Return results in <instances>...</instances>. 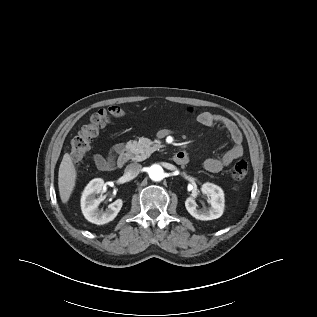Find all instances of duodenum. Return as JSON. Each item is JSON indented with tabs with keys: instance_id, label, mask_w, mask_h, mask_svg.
<instances>
[{
	"instance_id": "1",
	"label": "duodenum",
	"mask_w": 317,
	"mask_h": 317,
	"mask_svg": "<svg viewBox=\"0 0 317 317\" xmlns=\"http://www.w3.org/2000/svg\"><path fill=\"white\" fill-rule=\"evenodd\" d=\"M128 160H129V152H128V150L123 149L121 151V153L119 154L117 159H112L107 163L105 171H112V170H115L117 168H121L122 166H124L127 163ZM173 161L176 164L183 165V164L187 163L188 156H187L186 152L178 151V152L174 153Z\"/></svg>"
}]
</instances>
